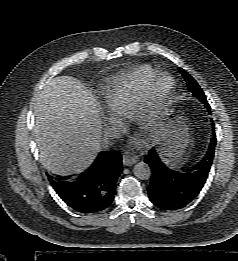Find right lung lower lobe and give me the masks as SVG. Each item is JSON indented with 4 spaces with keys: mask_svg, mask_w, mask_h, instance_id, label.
<instances>
[{
    "mask_svg": "<svg viewBox=\"0 0 238 261\" xmlns=\"http://www.w3.org/2000/svg\"><path fill=\"white\" fill-rule=\"evenodd\" d=\"M121 172V155L103 151L80 176L67 179L49 177V181L60 198L75 211L97 213L113 202L116 181Z\"/></svg>",
    "mask_w": 238,
    "mask_h": 261,
    "instance_id": "1",
    "label": "right lung lower lobe"
}]
</instances>
